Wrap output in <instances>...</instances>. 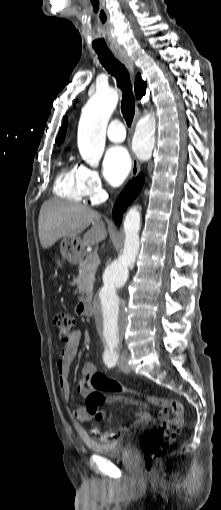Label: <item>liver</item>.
<instances>
[{"instance_id": "obj_1", "label": "liver", "mask_w": 221, "mask_h": 510, "mask_svg": "<svg viewBox=\"0 0 221 510\" xmlns=\"http://www.w3.org/2000/svg\"><path fill=\"white\" fill-rule=\"evenodd\" d=\"M90 224L92 227L81 241L82 247L95 245L107 237L100 213L78 203L57 198L49 199L42 204L39 214L38 231L41 246L47 249L62 237H75Z\"/></svg>"}]
</instances>
